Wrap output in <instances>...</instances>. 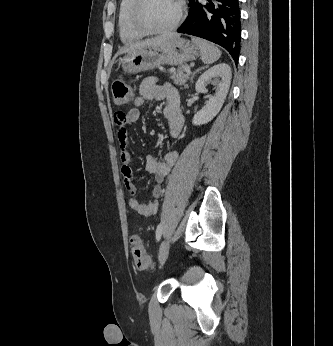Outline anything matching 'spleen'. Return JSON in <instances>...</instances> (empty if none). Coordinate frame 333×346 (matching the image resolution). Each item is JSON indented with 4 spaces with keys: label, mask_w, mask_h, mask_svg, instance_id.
<instances>
[{
    "label": "spleen",
    "mask_w": 333,
    "mask_h": 346,
    "mask_svg": "<svg viewBox=\"0 0 333 346\" xmlns=\"http://www.w3.org/2000/svg\"><path fill=\"white\" fill-rule=\"evenodd\" d=\"M192 41L199 47L203 63L211 64L220 58L221 51L212 43L195 37Z\"/></svg>",
    "instance_id": "spleen-1"
}]
</instances>
